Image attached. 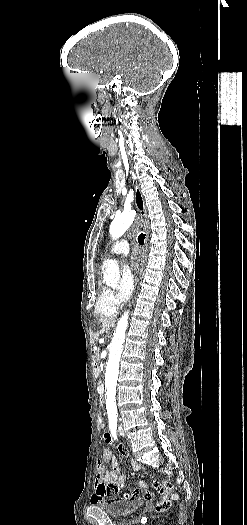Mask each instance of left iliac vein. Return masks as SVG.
<instances>
[{
	"mask_svg": "<svg viewBox=\"0 0 247 525\" xmlns=\"http://www.w3.org/2000/svg\"><path fill=\"white\" fill-rule=\"evenodd\" d=\"M118 431H119L120 436H124V431L121 426L119 427Z\"/></svg>",
	"mask_w": 247,
	"mask_h": 525,
	"instance_id": "1",
	"label": "left iliac vein"
}]
</instances>
